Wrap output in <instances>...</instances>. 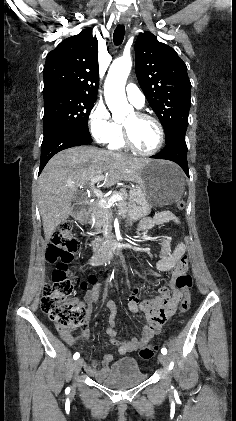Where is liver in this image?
I'll return each instance as SVG.
<instances>
[{"label":"liver","instance_id":"obj_1","mask_svg":"<svg viewBox=\"0 0 236 421\" xmlns=\"http://www.w3.org/2000/svg\"><path fill=\"white\" fill-rule=\"evenodd\" d=\"M145 158L124 156L95 146H72L54 154L38 178V204L45 241L65 223L71 211V200L77 186L87 184L93 176L104 174L102 186L109 188L118 180H134ZM74 184L75 188L66 186Z\"/></svg>","mask_w":236,"mask_h":421}]
</instances>
